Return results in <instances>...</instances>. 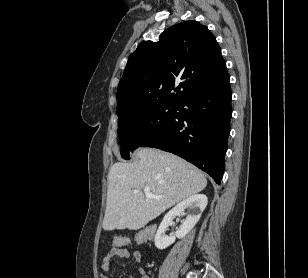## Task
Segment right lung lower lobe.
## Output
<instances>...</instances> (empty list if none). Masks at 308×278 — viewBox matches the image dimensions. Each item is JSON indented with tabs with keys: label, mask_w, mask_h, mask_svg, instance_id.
<instances>
[{
	"label": "right lung lower lobe",
	"mask_w": 308,
	"mask_h": 278,
	"mask_svg": "<svg viewBox=\"0 0 308 278\" xmlns=\"http://www.w3.org/2000/svg\"><path fill=\"white\" fill-rule=\"evenodd\" d=\"M230 79L178 103L175 118L140 147L174 153L220 184L230 133Z\"/></svg>",
	"instance_id": "obj_1"
}]
</instances>
